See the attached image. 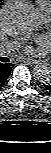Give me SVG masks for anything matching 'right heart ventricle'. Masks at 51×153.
Wrapping results in <instances>:
<instances>
[{"label": "right heart ventricle", "mask_w": 51, "mask_h": 153, "mask_svg": "<svg viewBox=\"0 0 51 153\" xmlns=\"http://www.w3.org/2000/svg\"><path fill=\"white\" fill-rule=\"evenodd\" d=\"M45 4L50 5L48 0H38L37 1V8H40Z\"/></svg>", "instance_id": "e07e8e85"}]
</instances>
